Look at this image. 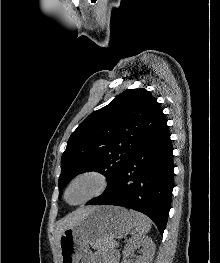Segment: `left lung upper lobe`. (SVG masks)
Instances as JSON below:
<instances>
[{
  "instance_id": "left-lung-upper-lobe-1",
  "label": "left lung upper lobe",
  "mask_w": 220,
  "mask_h": 263,
  "mask_svg": "<svg viewBox=\"0 0 220 263\" xmlns=\"http://www.w3.org/2000/svg\"><path fill=\"white\" fill-rule=\"evenodd\" d=\"M164 120L149 91L125 90L92 112L71 134L61 158L59 190L80 173L98 171L107 177V191L141 142Z\"/></svg>"
}]
</instances>
